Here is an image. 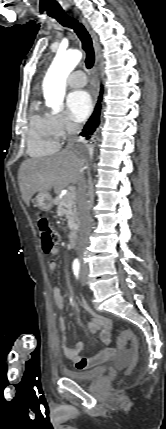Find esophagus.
<instances>
[{
  "mask_svg": "<svg viewBox=\"0 0 166 429\" xmlns=\"http://www.w3.org/2000/svg\"><path fill=\"white\" fill-rule=\"evenodd\" d=\"M74 16L77 17V14H74ZM78 19L85 26V28L87 29V31L89 32V34L91 35V38L93 40V45H94V50H95L94 71H95V78H96L97 75H98V65H99L100 53H101L100 45H99V42H98V37H97L96 33L91 29V27L89 26L88 22L82 16H79ZM96 98H97V96L95 95V97H94V103L96 102Z\"/></svg>",
  "mask_w": 166,
  "mask_h": 429,
  "instance_id": "obj_1",
  "label": "esophagus"
}]
</instances>
